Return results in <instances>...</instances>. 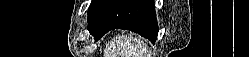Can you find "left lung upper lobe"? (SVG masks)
I'll return each mask as SVG.
<instances>
[{
  "label": "left lung upper lobe",
  "instance_id": "left-lung-upper-lobe-1",
  "mask_svg": "<svg viewBox=\"0 0 249 57\" xmlns=\"http://www.w3.org/2000/svg\"><path fill=\"white\" fill-rule=\"evenodd\" d=\"M106 1L107 0H92L88 11V21L96 14V12Z\"/></svg>",
  "mask_w": 249,
  "mask_h": 57
}]
</instances>
